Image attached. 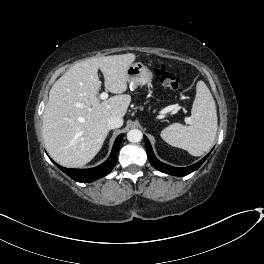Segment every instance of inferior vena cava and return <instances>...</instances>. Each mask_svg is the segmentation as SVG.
Instances as JSON below:
<instances>
[{"mask_svg": "<svg viewBox=\"0 0 264 264\" xmlns=\"http://www.w3.org/2000/svg\"><path fill=\"white\" fill-rule=\"evenodd\" d=\"M123 125V119L118 116H112L107 121V127L108 129H115L119 128Z\"/></svg>", "mask_w": 264, "mask_h": 264, "instance_id": "inferior-vena-cava-1", "label": "inferior vena cava"}]
</instances>
